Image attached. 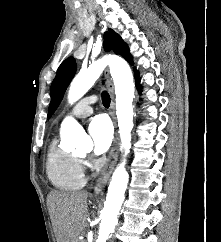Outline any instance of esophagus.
Returning a JSON list of instances; mask_svg holds the SVG:
<instances>
[{
    "instance_id": "esophagus-1",
    "label": "esophagus",
    "mask_w": 221,
    "mask_h": 242,
    "mask_svg": "<svg viewBox=\"0 0 221 242\" xmlns=\"http://www.w3.org/2000/svg\"><path fill=\"white\" fill-rule=\"evenodd\" d=\"M104 74L107 79V86H108V90H109L110 96H111L110 115L113 120L115 134H114L113 144H112L111 150L109 152L108 159L106 161L105 166L103 167V169L101 171V174L99 176V179H98L97 184L94 189L95 196H98L101 193V188L103 186H105L106 183L108 182L110 175L116 165V162L118 160V155H119V136H118V132H117V124H116V117H115L114 86L110 79L108 69H105Z\"/></svg>"
}]
</instances>
